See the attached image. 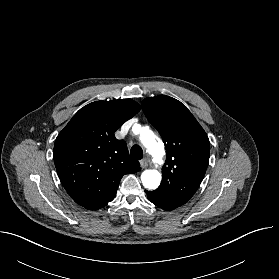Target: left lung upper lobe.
<instances>
[{
	"mask_svg": "<svg viewBox=\"0 0 279 279\" xmlns=\"http://www.w3.org/2000/svg\"><path fill=\"white\" fill-rule=\"evenodd\" d=\"M142 108L161 134L167 153L162 182L149 192L186 203L200 186L209 163L208 136L191 112L172 97L146 98Z\"/></svg>",
	"mask_w": 279,
	"mask_h": 279,
	"instance_id": "left-lung-upper-lobe-1",
	"label": "left lung upper lobe"
}]
</instances>
